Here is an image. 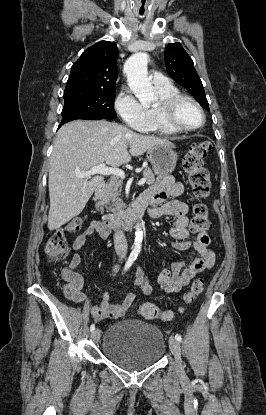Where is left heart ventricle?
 <instances>
[{"label":"left heart ventricle","instance_id":"1","mask_svg":"<svg viewBox=\"0 0 266 415\" xmlns=\"http://www.w3.org/2000/svg\"><path fill=\"white\" fill-rule=\"evenodd\" d=\"M178 120L186 126H197L201 123L202 117L198 109L190 102L183 101L177 110Z\"/></svg>","mask_w":266,"mask_h":415}]
</instances>
